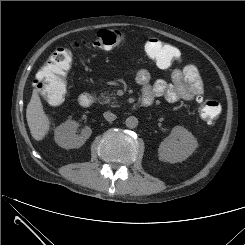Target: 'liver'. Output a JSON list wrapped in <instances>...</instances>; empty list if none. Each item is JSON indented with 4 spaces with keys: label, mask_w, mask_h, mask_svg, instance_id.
<instances>
[{
    "label": "liver",
    "mask_w": 245,
    "mask_h": 245,
    "mask_svg": "<svg viewBox=\"0 0 245 245\" xmlns=\"http://www.w3.org/2000/svg\"><path fill=\"white\" fill-rule=\"evenodd\" d=\"M26 119L32 137L40 141L49 131L50 121L46 116L37 89H33L31 100L27 105Z\"/></svg>",
    "instance_id": "6515ba94"
}]
</instances>
